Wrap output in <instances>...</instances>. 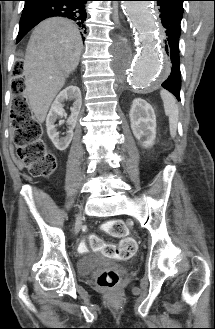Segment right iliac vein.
Instances as JSON below:
<instances>
[{
	"instance_id": "1",
	"label": "right iliac vein",
	"mask_w": 215,
	"mask_h": 329,
	"mask_svg": "<svg viewBox=\"0 0 215 329\" xmlns=\"http://www.w3.org/2000/svg\"><path fill=\"white\" fill-rule=\"evenodd\" d=\"M80 224H81V216L77 218L76 226H75V234H77L80 230Z\"/></svg>"
}]
</instances>
